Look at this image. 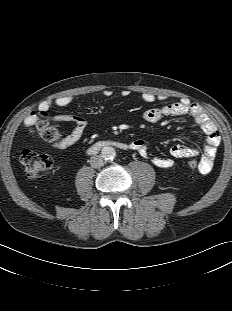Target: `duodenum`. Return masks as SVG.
<instances>
[{
    "label": "duodenum",
    "mask_w": 232,
    "mask_h": 311,
    "mask_svg": "<svg viewBox=\"0 0 232 311\" xmlns=\"http://www.w3.org/2000/svg\"><path fill=\"white\" fill-rule=\"evenodd\" d=\"M103 148H115V149H119V150H128V149H131V146H130V144L120 142V141L102 140V141H99V142L91 145L88 148V152L90 154H94Z\"/></svg>",
    "instance_id": "1"
}]
</instances>
